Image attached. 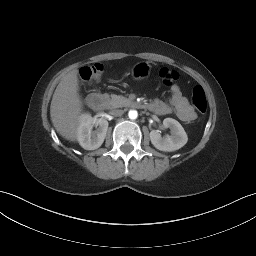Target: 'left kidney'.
Listing matches in <instances>:
<instances>
[{"instance_id": "5707ae66", "label": "left kidney", "mask_w": 256, "mask_h": 256, "mask_svg": "<svg viewBox=\"0 0 256 256\" xmlns=\"http://www.w3.org/2000/svg\"><path fill=\"white\" fill-rule=\"evenodd\" d=\"M165 128L171 130V135L161 136L158 130L150 132V140L154 147L160 151L172 152L183 147L187 141V134L182 125L173 118L163 120Z\"/></svg>"}]
</instances>
